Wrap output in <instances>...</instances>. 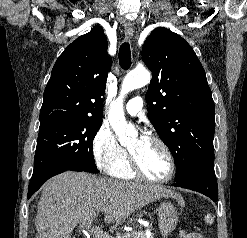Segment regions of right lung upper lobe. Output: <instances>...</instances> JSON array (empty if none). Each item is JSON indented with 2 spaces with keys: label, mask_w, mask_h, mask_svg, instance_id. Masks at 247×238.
<instances>
[{
  "label": "right lung upper lobe",
  "mask_w": 247,
  "mask_h": 238,
  "mask_svg": "<svg viewBox=\"0 0 247 238\" xmlns=\"http://www.w3.org/2000/svg\"><path fill=\"white\" fill-rule=\"evenodd\" d=\"M102 27L72 42L57 59L46 85L40 125L102 119L103 98L112 60Z\"/></svg>",
  "instance_id": "obj_1"
}]
</instances>
